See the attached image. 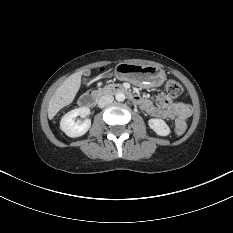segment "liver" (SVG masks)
<instances>
[{
  "label": "liver",
  "mask_w": 233,
  "mask_h": 233,
  "mask_svg": "<svg viewBox=\"0 0 233 233\" xmlns=\"http://www.w3.org/2000/svg\"><path fill=\"white\" fill-rule=\"evenodd\" d=\"M82 72L70 75L55 91L49 101L48 118L52 120L54 116L65 106L71 104L81 86Z\"/></svg>",
  "instance_id": "6515ba94"
}]
</instances>
